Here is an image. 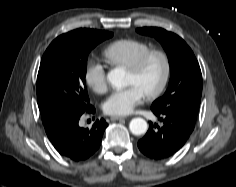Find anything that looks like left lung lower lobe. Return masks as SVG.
<instances>
[{
    "label": "left lung lower lobe",
    "instance_id": "left-lung-lower-lobe-1",
    "mask_svg": "<svg viewBox=\"0 0 236 187\" xmlns=\"http://www.w3.org/2000/svg\"><path fill=\"white\" fill-rule=\"evenodd\" d=\"M152 111L163 122V126L150 122L149 130L138 141V147L147 157L160 160L173 155L185 144L195 122L174 113Z\"/></svg>",
    "mask_w": 236,
    "mask_h": 187
}]
</instances>
